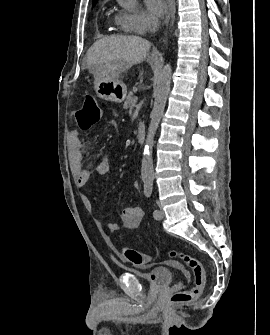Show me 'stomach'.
Listing matches in <instances>:
<instances>
[{
	"label": "stomach",
	"mask_w": 270,
	"mask_h": 335,
	"mask_svg": "<svg viewBox=\"0 0 270 335\" xmlns=\"http://www.w3.org/2000/svg\"><path fill=\"white\" fill-rule=\"evenodd\" d=\"M93 74V88L98 98L108 100V102H117V104L124 102L127 88L116 78L114 67H99L98 72H93Z\"/></svg>",
	"instance_id": "0dacf381"
}]
</instances>
